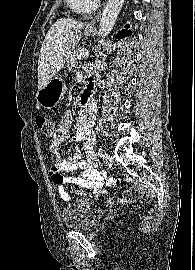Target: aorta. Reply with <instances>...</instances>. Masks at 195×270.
Segmentation results:
<instances>
[{
  "instance_id": "762f6f07",
  "label": "aorta",
  "mask_w": 195,
  "mask_h": 270,
  "mask_svg": "<svg viewBox=\"0 0 195 270\" xmlns=\"http://www.w3.org/2000/svg\"><path fill=\"white\" fill-rule=\"evenodd\" d=\"M124 0H108L100 19L99 31L107 36L113 30L118 14L123 6Z\"/></svg>"
}]
</instances>
